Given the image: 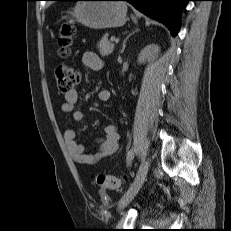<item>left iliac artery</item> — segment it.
I'll use <instances>...</instances> for the list:
<instances>
[{
    "mask_svg": "<svg viewBox=\"0 0 231 231\" xmlns=\"http://www.w3.org/2000/svg\"><path fill=\"white\" fill-rule=\"evenodd\" d=\"M136 152V149H131L130 151H128L127 153V157H126V160H127V165H130L133 158H134V154Z\"/></svg>",
    "mask_w": 231,
    "mask_h": 231,
    "instance_id": "44dca946",
    "label": "left iliac artery"
}]
</instances>
